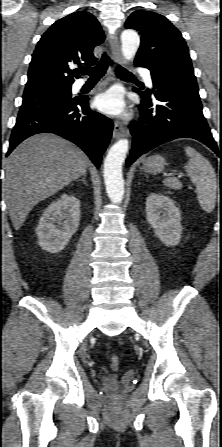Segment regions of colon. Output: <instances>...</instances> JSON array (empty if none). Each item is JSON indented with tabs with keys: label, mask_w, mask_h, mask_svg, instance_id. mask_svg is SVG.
<instances>
[{
	"label": "colon",
	"mask_w": 222,
	"mask_h": 447,
	"mask_svg": "<svg viewBox=\"0 0 222 447\" xmlns=\"http://www.w3.org/2000/svg\"><path fill=\"white\" fill-rule=\"evenodd\" d=\"M111 367L116 370L119 368L120 365V358L117 355H114L110 359Z\"/></svg>",
	"instance_id": "1"
}]
</instances>
